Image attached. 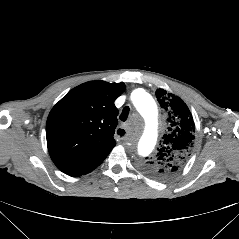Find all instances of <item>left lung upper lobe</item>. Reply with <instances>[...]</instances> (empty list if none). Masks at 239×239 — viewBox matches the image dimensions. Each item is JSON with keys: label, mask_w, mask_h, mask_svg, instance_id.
I'll list each match as a JSON object with an SVG mask.
<instances>
[{"label": "left lung upper lobe", "mask_w": 239, "mask_h": 239, "mask_svg": "<svg viewBox=\"0 0 239 239\" xmlns=\"http://www.w3.org/2000/svg\"><path fill=\"white\" fill-rule=\"evenodd\" d=\"M156 97L166 116L168 131L156 155L146 158L141 168L155 179L166 180L178 174L189 160L194 147L195 124L181 98L164 89L157 90Z\"/></svg>", "instance_id": "obj_1"}]
</instances>
